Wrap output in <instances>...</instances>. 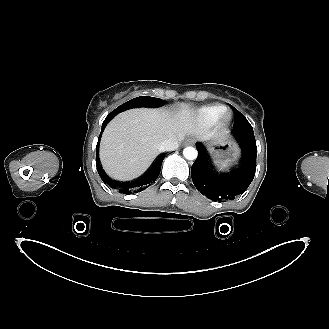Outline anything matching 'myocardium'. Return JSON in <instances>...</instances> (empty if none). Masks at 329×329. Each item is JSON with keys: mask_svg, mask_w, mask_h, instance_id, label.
<instances>
[{"mask_svg": "<svg viewBox=\"0 0 329 329\" xmlns=\"http://www.w3.org/2000/svg\"><path fill=\"white\" fill-rule=\"evenodd\" d=\"M219 120L223 124H228L231 121V113L224 111L222 115L220 116Z\"/></svg>", "mask_w": 329, "mask_h": 329, "instance_id": "1", "label": "myocardium"}]
</instances>
